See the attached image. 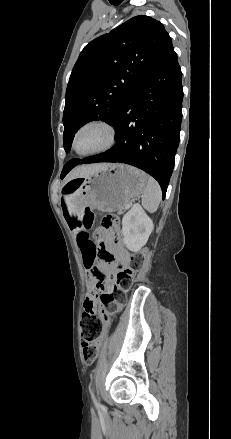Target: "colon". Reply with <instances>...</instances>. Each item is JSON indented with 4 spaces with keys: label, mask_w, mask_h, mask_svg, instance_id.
<instances>
[{
    "label": "colon",
    "mask_w": 231,
    "mask_h": 439,
    "mask_svg": "<svg viewBox=\"0 0 231 439\" xmlns=\"http://www.w3.org/2000/svg\"><path fill=\"white\" fill-rule=\"evenodd\" d=\"M78 181H72L65 185L64 195L68 196L74 192L78 187ZM93 221V216L88 214L84 221L78 223V227H88ZM114 224L112 217H105L101 222V228L109 230ZM99 256L97 246L95 249H87L83 258L84 266L88 270H93L96 278L100 282H105V274L94 268L96 258ZM108 260L111 259L109 255H105ZM144 263V254L137 253L132 255L125 263L120 264L118 271L113 277L108 290H103L100 300L103 309L96 313L93 309H87L83 312L81 317V344L83 350L84 360L88 364H92L98 357L99 350L94 344L100 340L104 334L105 325H107L111 318L115 316L126 300V294L130 290L134 276Z\"/></svg>",
    "instance_id": "colon-1"
}]
</instances>
